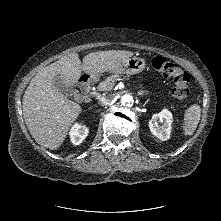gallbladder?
<instances>
[{"label": "gallbladder", "instance_id": "1", "mask_svg": "<svg viewBox=\"0 0 221 221\" xmlns=\"http://www.w3.org/2000/svg\"><path fill=\"white\" fill-rule=\"evenodd\" d=\"M54 84H55V87L63 94L73 95L75 93L72 88L67 87L63 83V81L61 80V78L59 76H56L54 78Z\"/></svg>", "mask_w": 221, "mask_h": 221}]
</instances>
